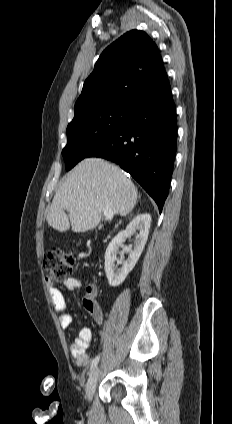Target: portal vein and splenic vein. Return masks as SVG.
Masks as SVG:
<instances>
[{
	"mask_svg": "<svg viewBox=\"0 0 232 424\" xmlns=\"http://www.w3.org/2000/svg\"><path fill=\"white\" fill-rule=\"evenodd\" d=\"M103 213L107 220H111L114 216L113 212L107 207L103 209Z\"/></svg>",
	"mask_w": 232,
	"mask_h": 424,
	"instance_id": "portal-vein-and-splenic-vein-1",
	"label": "portal vein and splenic vein"
}]
</instances>
